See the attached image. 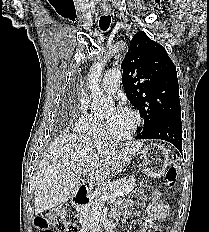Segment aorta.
Masks as SVG:
<instances>
[{"instance_id":"obj_1","label":"aorta","mask_w":209,"mask_h":232,"mask_svg":"<svg viewBox=\"0 0 209 232\" xmlns=\"http://www.w3.org/2000/svg\"><path fill=\"white\" fill-rule=\"evenodd\" d=\"M117 51L118 48H114L108 53V57L94 63L89 69V73L87 75V82L91 91L92 108L95 111H101L112 105V100L108 98L100 89V82L107 59L110 57L112 53H115Z\"/></svg>"}]
</instances>
